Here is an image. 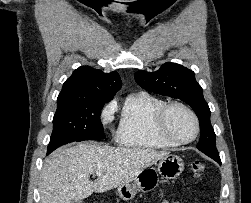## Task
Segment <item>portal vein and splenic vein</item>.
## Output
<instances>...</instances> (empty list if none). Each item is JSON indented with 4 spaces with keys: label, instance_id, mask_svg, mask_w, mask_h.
Listing matches in <instances>:
<instances>
[{
    "label": "portal vein and splenic vein",
    "instance_id": "portal-vein-and-splenic-vein-1",
    "mask_svg": "<svg viewBox=\"0 0 251 203\" xmlns=\"http://www.w3.org/2000/svg\"><path fill=\"white\" fill-rule=\"evenodd\" d=\"M95 175L100 177V176H102V173L96 172Z\"/></svg>",
    "mask_w": 251,
    "mask_h": 203
}]
</instances>
